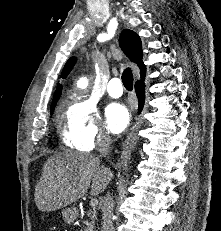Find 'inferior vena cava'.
Returning a JSON list of instances; mask_svg holds the SVG:
<instances>
[{
	"instance_id": "inferior-vena-cava-1",
	"label": "inferior vena cava",
	"mask_w": 221,
	"mask_h": 231,
	"mask_svg": "<svg viewBox=\"0 0 221 231\" xmlns=\"http://www.w3.org/2000/svg\"><path fill=\"white\" fill-rule=\"evenodd\" d=\"M111 137L108 133L103 132L100 134L97 144V149L100 153V157H106L110 151ZM108 175L111 179L113 177L112 172L108 169ZM114 200L111 194L108 192L104 197L102 204V227L101 231H114L112 216H113Z\"/></svg>"
}]
</instances>
